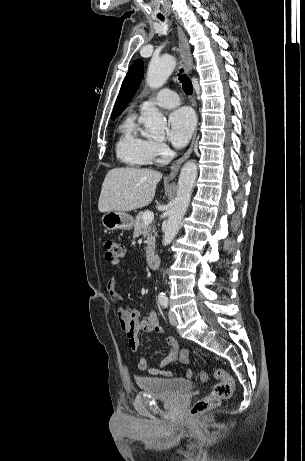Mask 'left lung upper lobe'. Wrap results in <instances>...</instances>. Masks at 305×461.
Listing matches in <instances>:
<instances>
[{"label": "left lung upper lobe", "mask_w": 305, "mask_h": 461, "mask_svg": "<svg viewBox=\"0 0 305 461\" xmlns=\"http://www.w3.org/2000/svg\"><path fill=\"white\" fill-rule=\"evenodd\" d=\"M144 64L142 60H136L130 67L124 81L122 83L119 95L117 97L113 112L112 119H115L124 110L127 103L134 96L139 87L140 80L143 74Z\"/></svg>", "instance_id": "obj_1"}]
</instances>
